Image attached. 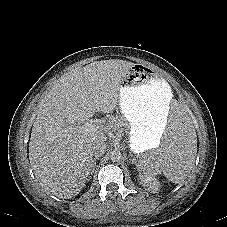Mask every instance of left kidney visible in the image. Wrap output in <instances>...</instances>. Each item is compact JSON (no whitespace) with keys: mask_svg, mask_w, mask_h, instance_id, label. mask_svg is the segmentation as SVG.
I'll list each match as a JSON object with an SVG mask.
<instances>
[{"mask_svg":"<svg viewBox=\"0 0 227 227\" xmlns=\"http://www.w3.org/2000/svg\"><path fill=\"white\" fill-rule=\"evenodd\" d=\"M140 184L149 192L157 193L160 190V182L151 175H139Z\"/></svg>","mask_w":227,"mask_h":227,"instance_id":"1","label":"left kidney"}]
</instances>
